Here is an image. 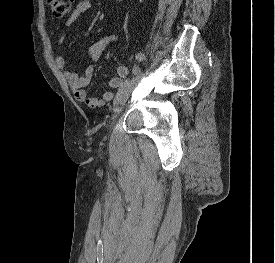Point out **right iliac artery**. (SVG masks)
I'll use <instances>...</instances> for the list:
<instances>
[{"label":"right iliac artery","instance_id":"82829eb1","mask_svg":"<svg viewBox=\"0 0 275 263\" xmlns=\"http://www.w3.org/2000/svg\"><path fill=\"white\" fill-rule=\"evenodd\" d=\"M136 59H137L138 61H143V60L145 59V56H144V54H142V53H138V54L136 55ZM128 83H129V79H127V80L125 81L124 85L121 86V87L119 88L117 94H119V93L124 89V87H125Z\"/></svg>","mask_w":275,"mask_h":263}]
</instances>
